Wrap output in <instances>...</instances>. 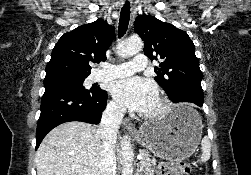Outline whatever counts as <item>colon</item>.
Segmentation results:
<instances>
[{
    "instance_id": "1",
    "label": "colon",
    "mask_w": 251,
    "mask_h": 175,
    "mask_svg": "<svg viewBox=\"0 0 251 175\" xmlns=\"http://www.w3.org/2000/svg\"><path fill=\"white\" fill-rule=\"evenodd\" d=\"M192 171V166L181 160H165L157 165L158 175H189Z\"/></svg>"
}]
</instances>
